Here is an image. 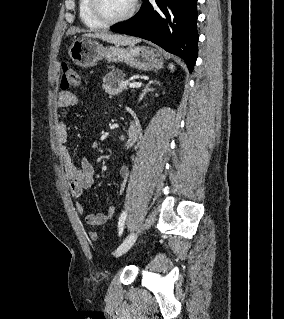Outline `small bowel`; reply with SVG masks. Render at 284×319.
<instances>
[{"mask_svg":"<svg viewBox=\"0 0 284 319\" xmlns=\"http://www.w3.org/2000/svg\"><path fill=\"white\" fill-rule=\"evenodd\" d=\"M78 103L76 94L70 91L62 92L57 99V106L60 109L70 108ZM138 130L136 124H132ZM56 137L60 145H62V158L66 176L70 182V191L72 196L76 199V210L80 215L85 217V221L90 226H100L110 220L116 212L115 206L111 205L105 212L100 213H85V209L80 199L86 189H88L94 182L95 169L89 159L83 157L80 162V167H77L67 149L65 144L68 140V129L64 122L59 121L56 125ZM120 176L122 182L120 184V193H123L126 187L129 176V169L127 166H122L120 169Z\"/></svg>","mask_w":284,"mask_h":319,"instance_id":"obj_1","label":"small bowel"}]
</instances>
